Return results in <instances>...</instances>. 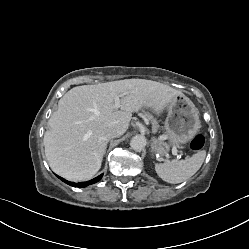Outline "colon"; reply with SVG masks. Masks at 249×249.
<instances>
[{
	"instance_id": "colon-1",
	"label": "colon",
	"mask_w": 249,
	"mask_h": 249,
	"mask_svg": "<svg viewBox=\"0 0 249 249\" xmlns=\"http://www.w3.org/2000/svg\"><path fill=\"white\" fill-rule=\"evenodd\" d=\"M205 145V137L202 134H197L193 137L190 143V148L192 151H199Z\"/></svg>"
}]
</instances>
